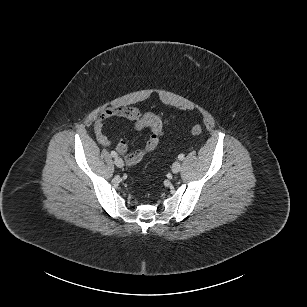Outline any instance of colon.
Listing matches in <instances>:
<instances>
[{"instance_id":"colon-1","label":"colon","mask_w":307,"mask_h":307,"mask_svg":"<svg viewBox=\"0 0 307 307\" xmlns=\"http://www.w3.org/2000/svg\"><path fill=\"white\" fill-rule=\"evenodd\" d=\"M203 129L201 127V125L199 124H195V125H192L190 127V132L193 134V135H200L202 133Z\"/></svg>"}]
</instances>
